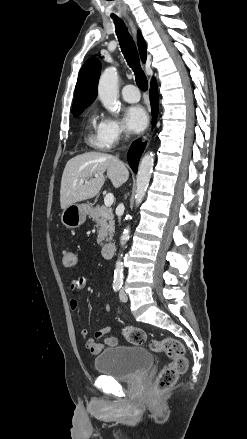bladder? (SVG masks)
I'll return each instance as SVG.
<instances>
[{
  "mask_svg": "<svg viewBox=\"0 0 247 439\" xmlns=\"http://www.w3.org/2000/svg\"><path fill=\"white\" fill-rule=\"evenodd\" d=\"M153 364L152 354L143 347L114 346L94 359L98 373L119 381H133L145 374Z\"/></svg>",
  "mask_w": 247,
  "mask_h": 439,
  "instance_id": "1",
  "label": "bladder"
}]
</instances>
